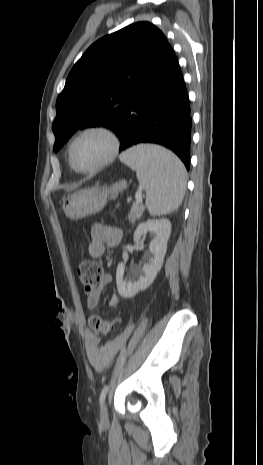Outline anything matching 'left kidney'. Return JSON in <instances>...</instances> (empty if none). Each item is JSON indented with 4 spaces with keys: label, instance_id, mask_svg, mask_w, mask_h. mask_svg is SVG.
I'll use <instances>...</instances> for the list:
<instances>
[{
    "label": "left kidney",
    "instance_id": "left-kidney-1",
    "mask_svg": "<svg viewBox=\"0 0 263 465\" xmlns=\"http://www.w3.org/2000/svg\"><path fill=\"white\" fill-rule=\"evenodd\" d=\"M152 232L154 238L149 244V250L152 257L149 258L147 264L143 266V274L137 280L124 281L125 264L121 263L117 266L116 283L117 289L123 298H131L140 290L148 288L160 271L167 250V242L171 234V224L166 219L148 220L138 225L134 232L133 239L138 242L143 234Z\"/></svg>",
    "mask_w": 263,
    "mask_h": 465
}]
</instances>
